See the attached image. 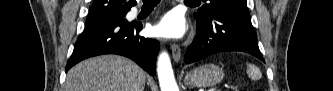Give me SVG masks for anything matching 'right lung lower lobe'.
I'll list each match as a JSON object with an SVG mask.
<instances>
[{"instance_id":"obj_1","label":"right lung lower lobe","mask_w":333,"mask_h":91,"mask_svg":"<svg viewBox=\"0 0 333 91\" xmlns=\"http://www.w3.org/2000/svg\"><path fill=\"white\" fill-rule=\"evenodd\" d=\"M142 27V23H130L124 17L89 18L67 63L66 72L86 58L118 54L132 59L154 76L160 44L139 36Z\"/></svg>"}]
</instances>
